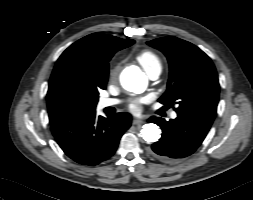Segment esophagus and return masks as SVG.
<instances>
[{"mask_svg":"<svg viewBox=\"0 0 253 200\" xmlns=\"http://www.w3.org/2000/svg\"><path fill=\"white\" fill-rule=\"evenodd\" d=\"M143 123V121L142 120H139V119H134L133 121H132V124L133 125H141Z\"/></svg>","mask_w":253,"mask_h":200,"instance_id":"obj_1","label":"esophagus"}]
</instances>
